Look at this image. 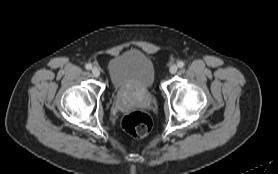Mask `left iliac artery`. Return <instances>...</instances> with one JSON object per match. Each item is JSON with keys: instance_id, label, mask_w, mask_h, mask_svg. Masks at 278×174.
Here are the masks:
<instances>
[{"instance_id": "left-iliac-artery-1", "label": "left iliac artery", "mask_w": 278, "mask_h": 174, "mask_svg": "<svg viewBox=\"0 0 278 174\" xmlns=\"http://www.w3.org/2000/svg\"><path fill=\"white\" fill-rule=\"evenodd\" d=\"M177 65H178L179 68H183L185 64H184L183 61H179V62L177 63Z\"/></svg>"}]
</instances>
